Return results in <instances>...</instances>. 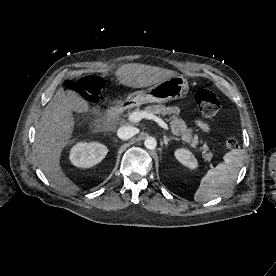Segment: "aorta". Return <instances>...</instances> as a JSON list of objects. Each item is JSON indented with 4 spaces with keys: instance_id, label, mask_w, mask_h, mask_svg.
Returning <instances> with one entry per match:
<instances>
[{
    "instance_id": "obj_1",
    "label": "aorta",
    "mask_w": 276,
    "mask_h": 276,
    "mask_svg": "<svg viewBox=\"0 0 276 276\" xmlns=\"http://www.w3.org/2000/svg\"><path fill=\"white\" fill-rule=\"evenodd\" d=\"M144 145L147 149L153 150L157 146V141L153 137H148V138L145 139Z\"/></svg>"
}]
</instances>
